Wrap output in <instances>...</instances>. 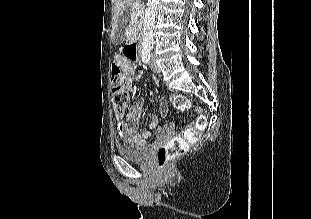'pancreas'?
<instances>
[{
  "mask_svg": "<svg viewBox=\"0 0 311 219\" xmlns=\"http://www.w3.org/2000/svg\"><path fill=\"white\" fill-rule=\"evenodd\" d=\"M143 8V5L140 0H138L136 7H132L130 9L131 15V25L130 28L132 30H136L140 27L142 22V14H139V11Z\"/></svg>",
  "mask_w": 311,
  "mask_h": 219,
  "instance_id": "cf45deb5",
  "label": "pancreas"
}]
</instances>
